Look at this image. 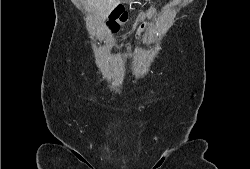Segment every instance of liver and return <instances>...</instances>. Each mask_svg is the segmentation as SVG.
Wrapping results in <instances>:
<instances>
[{
    "label": "liver",
    "mask_w": 250,
    "mask_h": 169,
    "mask_svg": "<svg viewBox=\"0 0 250 169\" xmlns=\"http://www.w3.org/2000/svg\"><path fill=\"white\" fill-rule=\"evenodd\" d=\"M82 2H86L91 10L95 8L101 16H106V14H109L121 0H82Z\"/></svg>",
    "instance_id": "1"
}]
</instances>
